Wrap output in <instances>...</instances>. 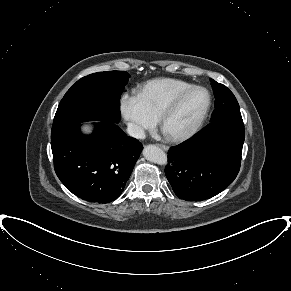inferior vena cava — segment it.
I'll use <instances>...</instances> for the list:
<instances>
[{
    "instance_id": "602c4592",
    "label": "inferior vena cava",
    "mask_w": 291,
    "mask_h": 291,
    "mask_svg": "<svg viewBox=\"0 0 291 291\" xmlns=\"http://www.w3.org/2000/svg\"><path fill=\"white\" fill-rule=\"evenodd\" d=\"M126 131L130 136L134 138L145 139L144 129L135 123H128Z\"/></svg>"
}]
</instances>
